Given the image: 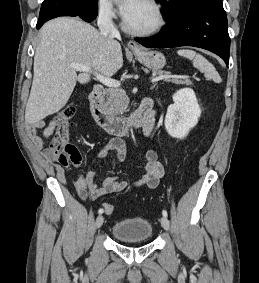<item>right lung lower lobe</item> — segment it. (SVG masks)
<instances>
[{
  "instance_id": "98d812e1",
  "label": "right lung lower lobe",
  "mask_w": 259,
  "mask_h": 283,
  "mask_svg": "<svg viewBox=\"0 0 259 283\" xmlns=\"http://www.w3.org/2000/svg\"><path fill=\"white\" fill-rule=\"evenodd\" d=\"M59 16H79L92 22L97 16V0H44L37 29L46 21Z\"/></svg>"
}]
</instances>
